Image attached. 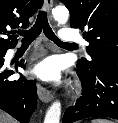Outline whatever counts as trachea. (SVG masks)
Segmentation results:
<instances>
[{
  "label": "trachea",
  "instance_id": "obj_1",
  "mask_svg": "<svg viewBox=\"0 0 118 123\" xmlns=\"http://www.w3.org/2000/svg\"><path fill=\"white\" fill-rule=\"evenodd\" d=\"M44 32L45 36L53 41L57 45H67V44H74L68 42H62L52 31L48 20L47 14L44 11H41L36 19L35 24L29 30H19L18 34L23 36L22 42H32L34 41L40 33Z\"/></svg>",
  "mask_w": 118,
  "mask_h": 123
}]
</instances>
